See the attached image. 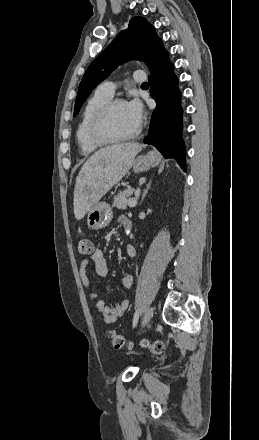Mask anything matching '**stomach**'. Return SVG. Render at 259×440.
Listing matches in <instances>:
<instances>
[{"label":"stomach","mask_w":259,"mask_h":440,"mask_svg":"<svg viewBox=\"0 0 259 440\" xmlns=\"http://www.w3.org/2000/svg\"><path fill=\"white\" fill-rule=\"evenodd\" d=\"M160 156L155 151L146 155H139L133 161V171L136 173L148 171L160 163ZM113 218V210L106 202L96 203L88 212L87 225L93 230H100L107 227Z\"/></svg>","instance_id":"obj_1"}]
</instances>
